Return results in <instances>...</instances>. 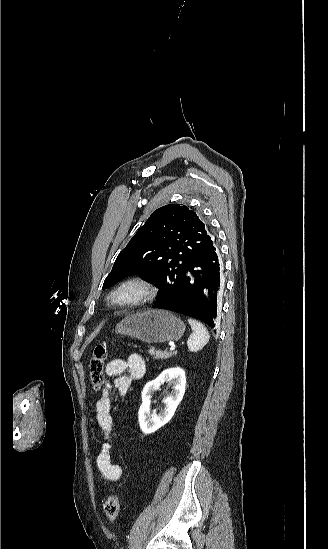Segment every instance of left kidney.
<instances>
[{"instance_id":"left-kidney-1","label":"left kidney","mask_w":328,"mask_h":549,"mask_svg":"<svg viewBox=\"0 0 328 549\" xmlns=\"http://www.w3.org/2000/svg\"><path fill=\"white\" fill-rule=\"evenodd\" d=\"M174 385L172 387L171 395L167 399H163L165 407L162 413L159 415H151V397L155 393L156 389H159L160 385ZM186 377L185 371L180 367H174V369H166L163 371L155 381H149L146 383L142 391V405L139 409L138 419L140 423V429H142L144 435H150L154 433L163 425H166L170 419H172L180 401H182L185 393Z\"/></svg>"}]
</instances>
